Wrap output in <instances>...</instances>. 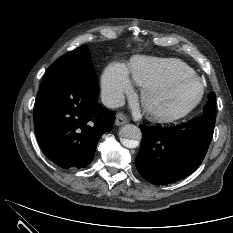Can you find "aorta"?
<instances>
[{"instance_id":"1","label":"aorta","mask_w":233,"mask_h":233,"mask_svg":"<svg viewBox=\"0 0 233 233\" xmlns=\"http://www.w3.org/2000/svg\"><path fill=\"white\" fill-rule=\"evenodd\" d=\"M120 141L127 148H136L142 138L140 128L133 124H125L119 131Z\"/></svg>"}]
</instances>
